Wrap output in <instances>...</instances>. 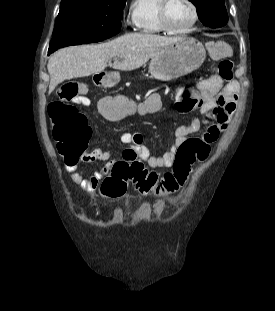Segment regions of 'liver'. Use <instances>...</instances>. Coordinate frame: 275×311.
I'll return each instance as SVG.
<instances>
[{
  "mask_svg": "<svg viewBox=\"0 0 275 311\" xmlns=\"http://www.w3.org/2000/svg\"><path fill=\"white\" fill-rule=\"evenodd\" d=\"M180 37H164L148 33H129L99 45L72 46L56 52L48 62L49 93L66 79L87 77L102 72L111 60L121 58L114 68L122 71L138 69L162 48Z\"/></svg>",
  "mask_w": 275,
  "mask_h": 311,
  "instance_id": "6515ba94",
  "label": "liver"
}]
</instances>
